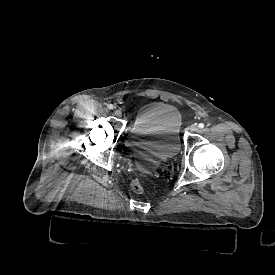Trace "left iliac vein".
<instances>
[{
	"mask_svg": "<svg viewBox=\"0 0 275 275\" xmlns=\"http://www.w3.org/2000/svg\"><path fill=\"white\" fill-rule=\"evenodd\" d=\"M190 132H196L198 130V126L196 124H193L189 128Z\"/></svg>",
	"mask_w": 275,
	"mask_h": 275,
	"instance_id": "1",
	"label": "left iliac vein"
}]
</instances>
